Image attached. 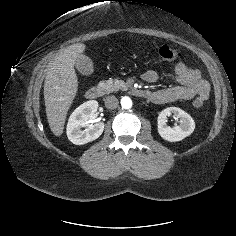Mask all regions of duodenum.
Listing matches in <instances>:
<instances>
[{"label":"duodenum","mask_w":236,"mask_h":236,"mask_svg":"<svg viewBox=\"0 0 236 236\" xmlns=\"http://www.w3.org/2000/svg\"><path fill=\"white\" fill-rule=\"evenodd\" d=\"M130 92L140 97H145L148 94L146 90L141 89V88H135V87H131ZM103 93H104L103 86L101 85L93 86L86 91V98L89 100H95V99L100 98L103 95Z\"/></svg>","instance_id":"410a0bca"}]
</instances>
